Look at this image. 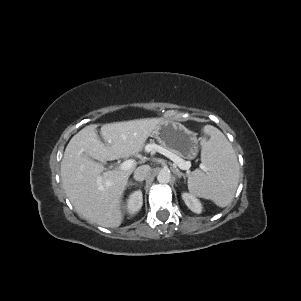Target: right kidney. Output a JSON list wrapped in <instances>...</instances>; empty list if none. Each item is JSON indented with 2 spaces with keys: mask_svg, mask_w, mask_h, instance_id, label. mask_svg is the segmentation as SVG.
Segmentation results:
<instances>
[{
  "mask_svg": "<svg viewBox=\"0 0 301 301\" xmlns=\"http://www.w3.org/2000/svg\"><path fill=\"white\" fill-rule=\"evenodd\" d=\"M142 204H143L142 192L140 190L134 191L133 193H131V195L127 200V204H126L127 211L130 214H135L141 209Z\"/></svg>",
  "mask_w": 301,
  "mask_h": 301,
  "instance_id": "obj_1",
  "label": "right kidney"
}]
</instances>
